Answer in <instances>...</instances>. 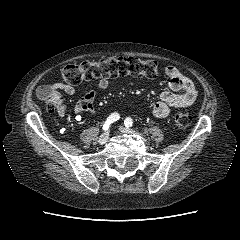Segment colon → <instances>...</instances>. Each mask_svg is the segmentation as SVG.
Here are the masks:
<instances>
[{
	"instance_id": "5ec220e1",
	"label": "colon",
	"mask_w": 240,
	"mask_h": 240,
	"mask_svg": "<svg viewBox=\"0 0 240 240\" xmlns=\"http://www.w3.org/2000/svg\"><path fill=\"white\" fill-rule=\"evenodd\" d=\"M160 75L161 68L157 61L136 57H106L97 61L66 65L61 70L62 81L71 86L97 78L137 76L154 79ZM38 95L46 103L50 112H58L61 108V96L54 85L41 86ZM190 121V115L185 112H178L174 116V123L179 128L188 127Z\"/></svg>"
}]
</instances>
